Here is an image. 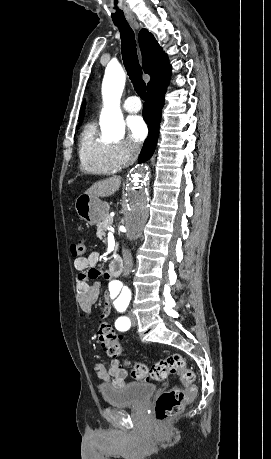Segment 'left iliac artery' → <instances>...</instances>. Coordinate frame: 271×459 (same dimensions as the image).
<instances>
[{"label":"left iliac artery","instance_id":"left-iliac-artery-1","mask_svg":"<svg viewBox=\"0 0 271 459\" xmlns=\"http://www.w3.org/2000/svg\"><path fill=\"white\" fill-rule=\"evenodd\" d=\"M128 306V303H120L119 305L117 303H115V307L117 309H120V313L122 312L121 310H125ZM131 326V322H130V319L127 318V317H120L116 320L115 322V327L117 328V330L119 331H127Z\"/></svg>","mask_w":271,"mask_h":459}]
</instances>
